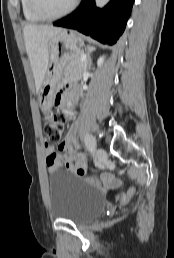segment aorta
<instances>
[{
	"label": "aorta",
	"mask_w": 174,
	"mask_h": 258,
	"mask_svg": "<svg viewBox=\"0 0 174 258\" xmlns=\"http://www.w3.org/2000/svg\"><path fill=\"white\" fill-rule=\"evenodd\" d=\"M110 0H95L97 7H104Z\"/></svg>",
	"instance_id": "obj_1"
}]
</instances>
